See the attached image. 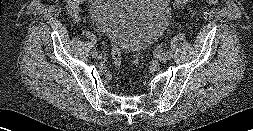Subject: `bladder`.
<instances>
[{"label": "bladder", "instance_id": "bladder-1", "mask_svg": "<svg viewBox=\"0 0 253 131\" xmlns=\"http://www.w3.org/2000/svg\"><path fill=\"white\" fill-rule=\"evenodd\" d=\"M90 13L114 46L135 51L160 36L171 12L168 0H91Z\"/></svg>", "mask_w": 253, "mask_h": 131}]
</instances>
